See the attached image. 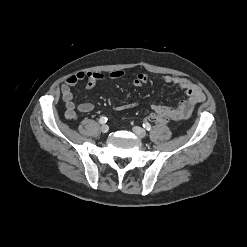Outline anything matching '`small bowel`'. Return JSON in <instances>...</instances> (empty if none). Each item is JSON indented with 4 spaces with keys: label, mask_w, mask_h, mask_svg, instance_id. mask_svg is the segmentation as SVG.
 <instances>
[{
    "label": "small bowel",
    "mask_w": 247,
    "mask_h": 247,
    "mask_svg": "<svg viewBox=\"0 0 247 247\" xmlns=\"http://www.w3.org/2000/svg\"><path fill=\"white\" fill-rule=\"evenodd\" d=\"M124 76L125 72L123 70H116L108 75L99 72H78L67 77L61 85V95L66 108V119L75 120L78 117V113H88L93 111L95 108L94 104L91 102H84L78 105L75 104L72 87H74L78 82L85 81L86 87L88 89H92L98 81L105 80L106 78L121 79ZM149 80L150 79L147 74L139 73L132 80V84L135 87H142L148 83ZM163 81L167 84L180 87L187 95V99L182 100L176 108L154 104L152 106L153 111L174 121L188 119L191 116L195 106L202 102L205 98L202 89L193 81L185 77L165 75L163 76ZM136 106L137 103L130 102L118 105L114 109L116 111H123L126 109H132Z\"/></svg>",
    "instance_id": "obj_1"
}]
</instances>
